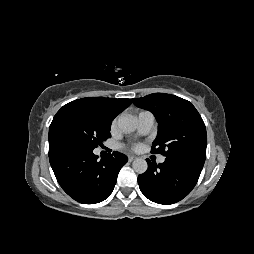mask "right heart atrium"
<instances>
[{"label":"right heart atrium","mask_w":254,"mask_h":254,"mask_svg":"<svg viewBox=\"0 0 254 254\" xmlns=\"http://www.w3.org/2000/svg\"><path fill=\"white\" fill-rule=\"evenodd\" d=\"M117 126V118H115L111 123V131H114Z\"/></svg>","instance_id":"right-heart-atrium-1"}]
</instances>
